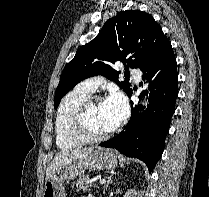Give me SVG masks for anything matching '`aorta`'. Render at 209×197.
I'll list each match as a JSON object with an SVG mask.
<instances>
[{
    "label": "aorta",
    "mask_w": 209,
    "mask_h": 197,
    "mask_svg": "<svg viewBox=\"0 0 209 197\" xmlns=\"http://www.w3.org/2000/svg\"><path fill=\"white\" fill-rule=\"evenodd\" d=\"M144 104H147V101L144 100Z\"/></svg>",
    "instance_id": "aorta-1"
}]
</instances>
